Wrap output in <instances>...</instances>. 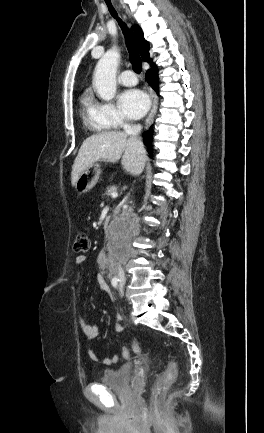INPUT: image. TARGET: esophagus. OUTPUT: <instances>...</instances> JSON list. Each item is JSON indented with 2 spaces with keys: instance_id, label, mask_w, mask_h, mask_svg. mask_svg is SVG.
<instances>
[{
  "instance_id": "34e87169",
  "label": "esophagus",
  "mask_w": 264,
  "mask_h": 433,
  "mask_svg": "<svg viewBox=\"0 0 264 433\" xmlns=\"http://www.w3.org/2000/svg\"><path fill=\"white\" fill-rule=\"evenodd\" d=\"M149 96H150V99L152 102V107H151L150 113H149V115L146 119V122H145L147 128L151 125V123L153 121L154 114L156 113L157 106H158L157 96L151 87H149Z\"/></svg>"
}]
</instances>
